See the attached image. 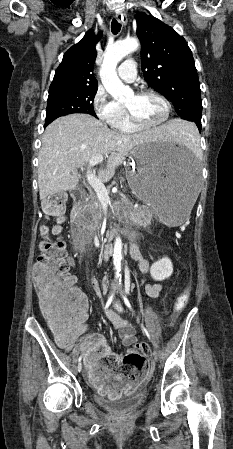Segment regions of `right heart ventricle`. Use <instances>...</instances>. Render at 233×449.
I'll use <instances>...</instances> for the list:
<instances>
[{
    "label": "right heart ventricle",
    "instance_id": "obj_1",
    "mask_svg": "<svg viewBox=\"0 0 233 449\" xmlns=\"http://www.w3.org/2000/svg\"><path fill=\"white\" fill-rule=\"evenodd\" d=\"M119 110L117 116L110 123L114 130L124 133L133 134L139 132L141 129L136 127L128 118V115L122 105H118Z\"/></svg>",
    "mask_w": 233,
    "mask_h": 449
}]
</instances>
